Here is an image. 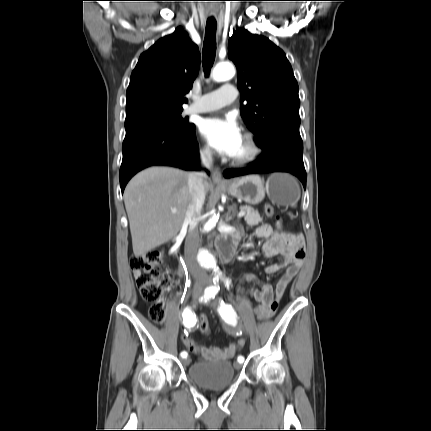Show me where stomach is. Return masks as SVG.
<instances>
[{
  "mask_svg": "<svg viewBox=\"0 0 431 431\" xmlns=\"http://www.w3.org/2000/svg\"><path fill=\"white\" fill-rule=\"evenodd\" d=\"M226 189L230 195L252 205L262 202L265 193L273 203L282 206L292 205L300 197L297 181L287 174H273L266 186L259 176L249 175L230 181Z\"/></svg>",
  "mask_w": 431,
  "mask_h": 431,
  "instance_id": "1",
  "label": "stomach"
}]
</instances>
